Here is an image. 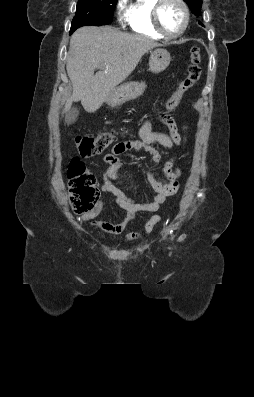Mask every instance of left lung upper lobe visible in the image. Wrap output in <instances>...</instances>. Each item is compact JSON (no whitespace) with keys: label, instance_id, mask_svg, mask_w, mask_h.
Listing matches in <instances>:
<instances>
[{"label":"left lung upper lobe","instance_id":"obj_1","mask_svg":"<svg viewBox=\"0 0 254 397\" xmlns=\"http://www.w3.org/2000/svg\"><path fill=\"white\" fill-rule=\"evenodd\" d=\"M189 7L191 8L192 12L199 15L200 14V8L202 4V0H184ZM200 25L204 26L202 23L199 22Z\"/></svg>","mask_w":254,"mask_h":397}]
</instances>
